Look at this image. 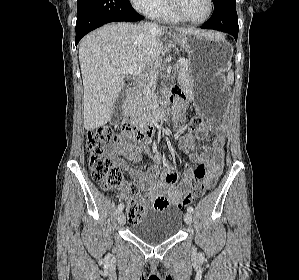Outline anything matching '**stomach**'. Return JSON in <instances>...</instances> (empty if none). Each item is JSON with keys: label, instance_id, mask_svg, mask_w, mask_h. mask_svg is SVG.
I'll use <instances>...</instances> for the list:
<instances>
[{"label": "stomach", "instance_id": "0dacf381", "mask_svg": "<svg viewBox=\"0 0 299 280\" xmlns=\"http://www.w3.org/2000/svg\"><path fill=\"white\" fill-rule=\"evenodd\" d=\"M172 39L188 53L191 93L198 114L220 117L226 110L228 91L223 74L230 65L232 47L219 33H177Z\"/></svg>", "mask_w": 299, "mask_h": 280}]
</instances>
